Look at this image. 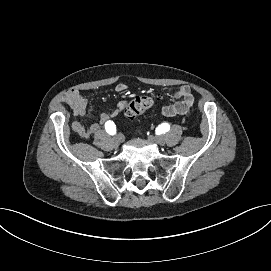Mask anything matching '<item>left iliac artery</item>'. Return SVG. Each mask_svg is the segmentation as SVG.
Here are the masks:
<instances>
[{"instance_id": "obj_1", "label": "left iliac artery", "mask_w": 271, "mask_h": 271, "mask_svg": "<svg viewBox=\"0 0 271 271\" xmlns=\"http://www.w3.org/2000/svg\"><path fill=\"white\" fill-rule=\"evenodd\" d=\"M158 129L160 132L165 133L170 129V126L168 123L162 122L159 124Z\"/></svg>"}]
</instances>
